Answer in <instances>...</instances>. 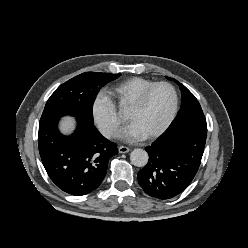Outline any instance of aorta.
<instances>
[{"instance_id":"aorta-1","label":"aorta","mask_w":248,"mask_h":248,"mask_svg":"<svg viewBox=\"0 0 248 248\" xmlns=\"http://www.w3.org/2000/svg\"><path fill=\"white\" fill-rule=\"evenodd\" d=\"M148 153L144 149H134L130 154L131 163L137 167H143L148 162Z\"/></svg>"}]
</instances>
